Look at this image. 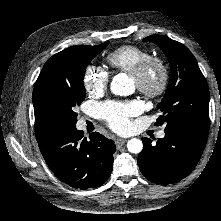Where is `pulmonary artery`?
<instances>
[{"mask_svg":"<svg viewBox=\"0 0 221 221\" xmlns=\"http://www.w3.org/2000/svg\"><path fill=\"white\" fill-rule=\"evenodd\" d=\"M164 136H165V133H164L163 130H161V131H159V132L157 133V137H158V138H164Z\"/></svg>","mask_w":221,"mask_h":221,"instance_id":"obj_1","label":"pulmonary artery"}]
</instances>
